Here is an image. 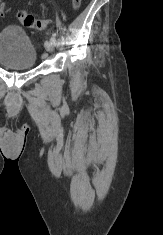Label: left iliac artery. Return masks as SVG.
I'll return each mask as SVG.
<instances>
[{
    "mask_svg": "<svg viewBox=\"0 0 163 235\" xmlns=\"http://www.w3.org/2000/svg\"><path fill=\"white\" fill-rule=\"evenodd\" d=\"M54 42V44H56V39H55V36L53 35L52 38H51Z\"/></svg>",
    "mask_w": 163,
    "mask_h": 235,
    "instance_id": "44dca946",
    "label": "left iliac artery"
}]
</instances>
